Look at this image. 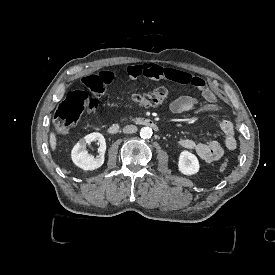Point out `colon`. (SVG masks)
Segmentation results:
<instances>
[{"instance_id": "5ec220e1", "label": "colon", "mask_w": 275, "mask_h": 275, "mask_svg": "<svg viewBox=\"0 0 275 275\" xmlns=\"http://www.w3.org/2000/svg\"><path fill=\"white\" fill-rule=\"evenodd\" d=\"M87 87L94 96H90L86 91L74 90L67 94L66 98L57 107L53 121L57 132L68 133L72 130L75 123L82 115L92 111L97 105L96 97L108 90V86L103 85L98 74L90 75L86 81ZM169 96L168 89L158 87L144 94L134 95L133 102L141 106H151L163 102ZM221 171L227 172L230 163L227 158L222 157L219 160Z\"/></svg>"}]
</instances>
